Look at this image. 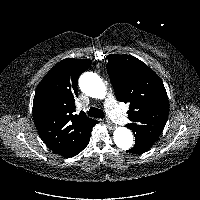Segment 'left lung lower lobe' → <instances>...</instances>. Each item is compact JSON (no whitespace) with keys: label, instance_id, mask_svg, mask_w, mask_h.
<instances>
[{"label":"left lung lower lobe","instance_id":"left-lung-lower-lobe-1","mask_svg":"<svg viewBox=\"0 0 200 200\" xmlns=\"http://www.w3.org/2000/svg\"><path fill=\"white\" fill-rule=\"evenodd\" d=\"M150 147L151 145H148L146 143H135L134 147L128 150V152L132 154H142L148 151Z\"/></svg>","mask_w":200,"mask_h":200}]
</instances>
